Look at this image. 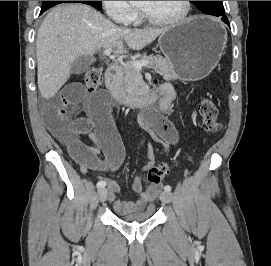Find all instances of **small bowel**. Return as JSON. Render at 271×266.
Masks as SVG:
<instances>
[{
    "mask_svg": "<svg viewBox=\"0 0 271 266\" xmlns=\"http://www.w3.org/2000/svg\"><path fill=\"white\" fill-rule=\"evenodd\" d=\"M83 63L72 67L73 73L82 71ZM160 110L170 113L175 98L174 88L165 83L161 86ZM86 92L78 82L65 85L51 100L42 104L44 120L56 136L68 145L69 151L83 173L89 170L106 171L117 169L124 157V148L120 135L115 127L112 117V106L109 97L104 92H99L90 98L87 117L76 123L74 127L84 134H88L95 144L93 148L83 146L74 139L66 126V115L70 108L78 104ZM155 135L165 141L167 146L177 141V133L171 123L156 118L152 124ZM100 152L105 155V160L99 158ZM152 161L145 165L148 170ZM107 199L113 209L121 215L143 210L158 195L161 184H151L144 187L141 178L135 177L132 181L133 190L139 195L134 201L122 202L117 199L119 187L115 181L107 179Z\"/></svg>",
    "mask_w": 271,
    "mask_h": 266,
    "instance_id": "1",
    "label": "small bowel"
}]
</instances>
